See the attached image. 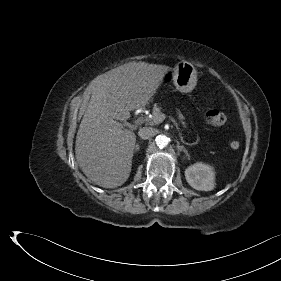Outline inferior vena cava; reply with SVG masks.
Returning <instances> with one entry per match:
<instances>
[{
	"instance_id": "602c4592",
	"label": "inferior vena cava",
	"mask_w": 281,
	"mask_h": 281,
	"mask_svg": "<svg viewBox=\"0 0 281 281\" xmlns=\"http://www.w3.org/2000/svg\"><path fill=\"white\" fill-rule=\"evenodd\" d=\"M155 134H156V131L152 127H143L138 132V135L142 139H149V138L155 136Z\"/></svg>"
}]
</instances>
